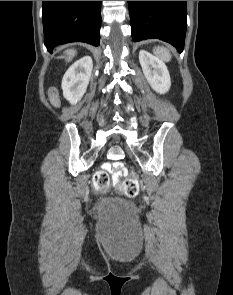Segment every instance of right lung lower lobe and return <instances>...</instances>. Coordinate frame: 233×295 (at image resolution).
<instances>
[{"instance_id":"1","label":"right lung lower lobe","mask_w":233,"mask_h":295,"mask_svg":"<svg viewBox=\"0 0 233 295\" xmlns=\"http://www.w3.org/2000/svg\"><path fill=\"white\" fill-rule=\"evenodd\" d=\"M44 43L52 52L59 43L99 45L101 1H43Z\"/></svg>"}]
</instances>
